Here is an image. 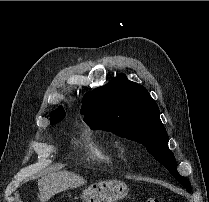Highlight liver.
I'll list each match as a JSON object with an SVG mask.
<instances>
[{"label": "liver", "instance_id": "1", "mask_svg": "<svg viewBox=\"0 0 209 202\" xmlns=\"http://www.w3.org/2000/svg\"><path fill=\"white\" fill-rule=\"evenodd\" d=\"M85 179L69 171L50 173L38 179V199L46 202L54 195L85 184Z\"/></svg>", "mask_w": 209, "mask_h": 202}]
</instances>
